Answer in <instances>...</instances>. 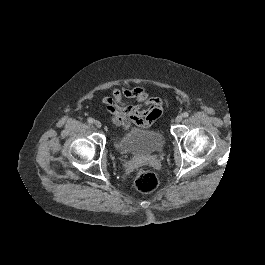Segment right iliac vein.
Wrapping results in <instances>:
<instances>
[{
    "label": "right iliac vein",
    "mask_w": 265,
    "mask_h": 265,
    "mask_svg": "<svg viewBox=\"0 0 265 265\" xmlns=\"http://www.w3.org/2000/svg\"><path fill=\"white\" fill-rule=\"evenodd\" d=\"M94 124H95V126H96L97 128H100V127L102 126V124H101V122H100L99 120H96V121L94 122Z\"/></svg>",
    "instance_id": "1"
}]
</instances>
